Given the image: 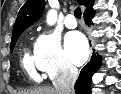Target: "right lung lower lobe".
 Instances as JSON below:
<instances>
[{
	"mask_svg": "<svg viewBox=\"0 0 121 94\" xmlns=\"http://www.w3.org/2000/svg\"><path fill=\"white\" fill-rule=\"evenodd\" d=\"M93 8L89 11L84 12V20L87 26L93 24L92 18L94 17ZM101 57L99 55L96 56L95 50H93V54L91 56V60L87 63L86 66L81 70L80 76L75 84L76 94H91L90 84L92 75L97 71L100 65Z\"/></svg>",
	"mask_w": 121,
	"mask_h": 94,
	"instance_id": "98d812e1",
	"label": "right lung lower lobe"
}]
</instances>
